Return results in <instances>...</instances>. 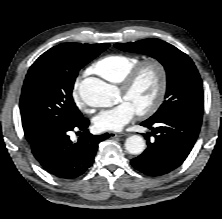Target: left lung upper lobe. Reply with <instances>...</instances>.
Listing matches in <instances>:
<instances>
[{"instance_id": "obj_1", "label": "left lung upper lobe", "mask_w": 222, "mask_h": 219, "mask_svg": "<svg viewBox=\"0 0 222 219\" xmlns=\"http://www.w3.org/2000/svg\"><path fill=\"white\" fill-rule=\"evenodd\" d=\"M114 46L122 51L149 55L165 67L166 100L149 120L170 114H182L202 120L204 110L202 81L193 61L185 53L159 39H144Z\"/></svg>"}]
</instances>
